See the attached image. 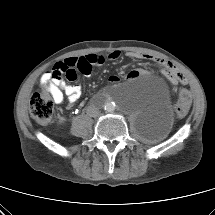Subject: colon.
Instances as JSON below:
<instances>
[{"mask_svg":"<svg viewBox=\"0 0 215 215\" xmlns=\"http://www.w3.org/2000/svg\"><path fill=\"white\" fill-rule=\"evenodd\" d=\"M78 70L80 72H87L89 70L88 66L84 63H82ZM167 77L168 79L175 83L180 82L184 80V76L181 72L177 71L172 66H168L167 70ZM77 75V69L74 67H61L60 70H56L53 73V78H60L65 76L68 80L75 78ZM50 84L51 81H47L43 88L37 92H35L31 98L30 101V113L32 117L40 122V123H47L51 120L53 113H54V104H55V98L50 90ZM190 98L187 92L183 91L180 94V97L178 99L177 105H176V113L178 116H183L188 107H189Z\"/></svg>","mask_w":215,"mask_h":215,"instance_id":"colon-1","label":"colon"}]
</instances>
